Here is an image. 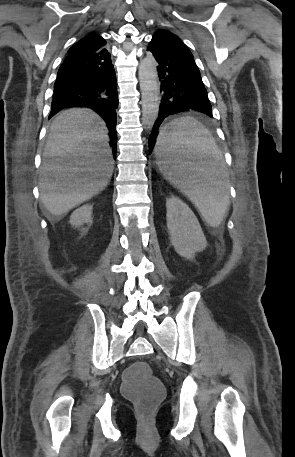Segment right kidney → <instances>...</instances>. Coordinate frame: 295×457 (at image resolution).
<instances>
[{
  "label": "right kidney",
  "instance_id": "right-kidney-1",
  "mask_svg": "<svg viewBox=\"0 0 295 457\" xmlns=\"http://www.w3.org/2000/svg\"><path fill=\"white\" fill-rule=\"evenodd\" d=\"M92 206L91 205H84L77 210H75L71 217L70 223L72 226L80 227L84 223H92Z\"/></svg>",
  "mask_w": 295,
  "mask_h": 457
}]
</instances>
